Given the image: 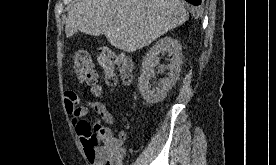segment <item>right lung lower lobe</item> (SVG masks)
I'll use <instances>...</instances> for the list:
<instances>
[{
    "label": "right lung lower lobe",
    "instance_id": "98d812e1",
    "mask_svg": "<svg viewBox=\"0 0 276 165\" xmlns=\"http://www.w3.org/2000/svg\"><path fill=\"white\" fill-rule=\"evenodd\" d=\"M193 5H200L203 0H186Z\"/></svg>",
    "mask_w": 276,
    "mask_h": 165
}]
</instances>
